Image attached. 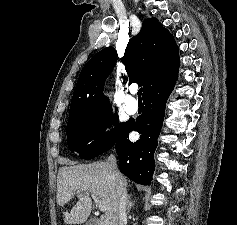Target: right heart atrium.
<instances>
[{"label": "right heart atrium", "mask_w": 237, "mask_h": 225, "mask_svg": "<svg viewBox=\"0 0 237 225\" xmlns=\"http://www.w3.org/2000/svg\"><path fill=\"white\" fill-rule=\"evenodd\" d=\"M109 131H110L109 125L102 122V123H99L96 126V129H95V132H94V136L97 139H100V138L104 137L107 133H109Z\"/></svg>", "instance_id": "obj_1"}]
</instances>
